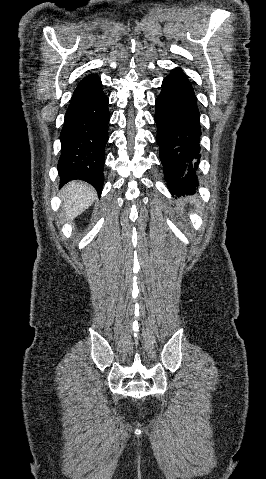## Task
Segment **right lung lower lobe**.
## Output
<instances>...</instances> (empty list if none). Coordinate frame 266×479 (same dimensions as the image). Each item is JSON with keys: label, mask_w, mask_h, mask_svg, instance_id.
Here are the masks:
<instances>
[{"label": "right lung lower lobe", "mask_w": 266, "mask_h": 479, "mask_svg": "<svg viewBox=\"0 0 266 479\" xmlns=\"http://www.w3.org/2000/svg\"><path fill=\"white\" fill-rule=\"evenodd\" d=\"M96 74L83 78L75 89L65 114L60 134L61 155L57 169L61 186L80 179L103 188L107 125L110 120L108 98Z\"/></svg>", "instance_id": "98d812e1"}]
</instances>
